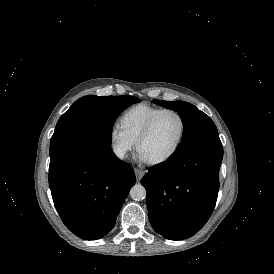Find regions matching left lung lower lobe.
Masks as SVG:
<instances>
[{
    "label": "left lung lower lobe",
    "mask_w": 274,
    "mask_h": 274,
    "mask_svg": "<svg viewBox=\"0 0 274 274\" xmlns=\"http://www.w3.org/2000/svg\"><path fill=\"white\" fill-rule=\"evenodd\" d=\"M222 158L221 143L206 144L149 169L141 184L157 233L182 240L204 226L216 204Z\"/></svg>",
    "instance_id": "0a47b994"
}]
</instances>
